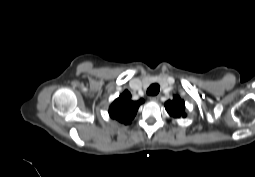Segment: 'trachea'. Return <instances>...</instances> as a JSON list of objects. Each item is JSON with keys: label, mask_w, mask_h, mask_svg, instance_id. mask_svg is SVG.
<instances>
[{"label": "trachea", "mask_w": 255, "mask_h": 177, "mask_svg": "<svg viewBox=\"0 0 255 177\" xmlns=\"http://www.w3.org/2000/svg\"><path fill=\"white\" fill-rule=\"evenodd\" d=\"M159 91H160V86L157 83H154L150 85L149 88L147 89V94L150 96H155L159 93Z\"/></svg>", "instance_id": "trachea-1"}]
</instances>
